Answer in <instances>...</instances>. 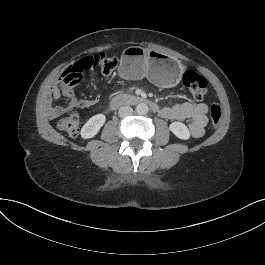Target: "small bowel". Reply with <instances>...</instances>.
<instances>
[{"instance_id": "1", "label": "small bowel", "mask_w": 265, "mask_h": 265, "mask_svg": "<svg viewBox=\"0 0 265 265\" xmlns=\"http://www.w3.org/2000/svg\"><path fill=\"white\" fill-rule=\"evenodd\" d=\"M62 93L69 100L68 107H52L49 114L52 118L62 115L68 109H85L90 108L96 104L95 99H78L75 97L73 88H62ZM61 95L60 89L55 86L52 90V96L54 99H58ZM208 112V106L205 103L192 104L189 102H182L173 106L161 108L159 113L161 117L168 120L182 121L190 119L189 131L192 137L199 138L204 135L205 126L207 125L206 114Z\"/></svg>"}]
</instances>
